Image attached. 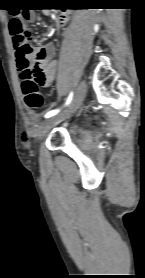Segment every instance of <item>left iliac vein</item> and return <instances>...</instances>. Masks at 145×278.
<instances>
[{
  "label": "left iliac vein",
  "mask_w": 145,
  "mask_h": 278,
  "mask_svg": "<svg viewBox=\"0 0 145 278\" xmlns=\"http://www.w3.org/2000/svg\"><path fill=\"white\" fill-rule=\"evenodd\" d=\"M86 92H87V84L83 80L79 84L76 96H75L73 102L71 103V105L69 106V108L65 112L47 119L38 128V130L36 132L37 139L41 140L43 138V136L46 134V132L49 131L53 126H55L56 124L60 123L61 121L65 120V119L69 118L78 109V107L82 104V102L86 96Z\"/></svg>",
  "instance_id": "obj_1"
}]
</instances>
